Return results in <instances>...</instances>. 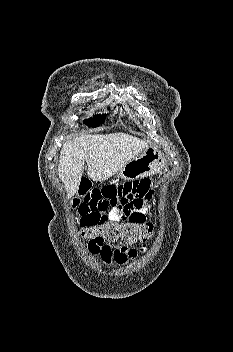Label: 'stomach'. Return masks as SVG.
<instances>
[{"label": "stomach", "mask_w": 233, "mask_h": 352, "mask_svg": "<svg viewBox=\"0 0 233 352\" xmlns=\"http://www.w3.org/2000/svg\"><path fill=\"white\" fill-rule=\"evenodd\" d=\"M165 163L163 154L156 148L149 147L121 168L118 175L126 181H133L159 173Z\"/></svg>", "instance_id": "0dacf381"}]
</instances>
